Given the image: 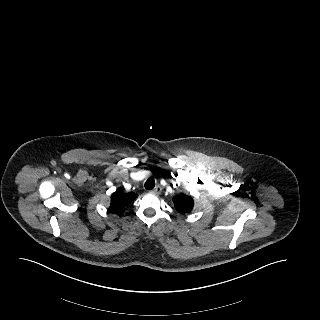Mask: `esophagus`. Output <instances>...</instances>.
Wrapping results in <instances>:
<instances>
[{"label":"esophagus","instance_id":"1","mask_svg":"<svg viewBox=\"0 0 320 320\" xmlns=\"http://www.w3.org/2000/svg\"><path fill=\"white\" fill-rule=\"evenodd\" d=\"M153 194H159L161 192V187L159 185H156L152 190H150Z\"/></svg>","mask_w":320,"mask_h":320}]
</instances>
